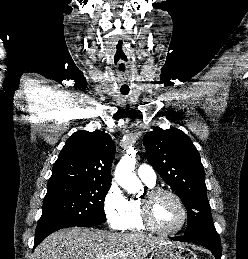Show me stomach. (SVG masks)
<instances>
[{
	"mask_svg": "<svg viewBox=\"0 0 248 259\" xmlns=\"http://www.w3.org/2000/svg\"><path fill=\"white\" fill-rule=\"evenodd\" d=\"M150 259H198L189 248L171 242L153 250Z\"/></svg>",
	"mask_w": 248,
	"mask_h": 259,
	"instance_id": "obj_1",
	"label": "stomach"
}]
</instances>
